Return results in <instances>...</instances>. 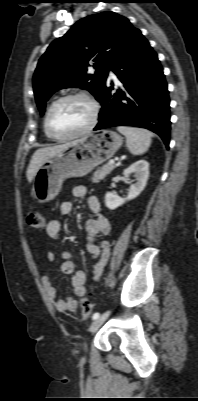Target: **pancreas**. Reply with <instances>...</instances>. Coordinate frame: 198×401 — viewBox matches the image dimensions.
Listing matches in <instances>:
<instances>
[{
    "label": "pancreas",
    "instance_id": "pancreas-1",
    "mask_svg": "<svg viewBox=\"0 0 198 401\" xmlns=\"http://www.w3.org/2000/svg\"><path fill=\"white\" fill-rule=\"evenodd\" d=\"M115 168L114 164L107 163L102 167L98 168L92 176V182L98 183L103 180L108 174H110Z\"/></svg>",
    "mask_w": 198,
    "mask_h": 401
}]
</instances>
